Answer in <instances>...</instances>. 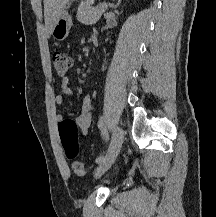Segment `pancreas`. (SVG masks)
Instances as JSON below:
<instances>
[{
	"label": "pancreas",
	"mask_w": 216,
	"mask_h": 217,
	"mask_svg": "<svg viewBox=\"0 0 216 217\" xmlns=\"http://www.w3.org/2000/svg\"><path fill=\"white\" fill-rule=\"evenodd\" d=\"M94 0H85L78 6L77 19L85 24H95L105 11L104 4L93 6Z\"/></svg>",
	"instance_id": "pancreas-1"
}]
</instances>
